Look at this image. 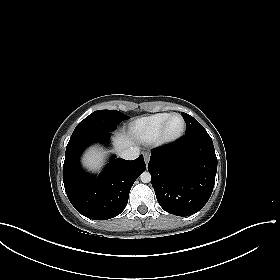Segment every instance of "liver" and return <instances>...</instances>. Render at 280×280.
I'll return each mask as SVG.
<instances>
[{"instance_id": "6515ba94", "label": "liver", "mask_w": 280, "mask_h": 280, "mask_svg": "<svg viewBox=\"0 0 280 280\" xmlns=\"http://www.w3.org/2000/svg\"><path fill=\"white\" fill-rule=\"evenodd\" d=\"M114 145L115 151L120 153L133 145V138L124 133L118 134L114 139ZM102 154L103 153L97 151L96 149H91L86 153L84 163L91 168H97L102 161Z\"/></svg>"}]
</instances>
